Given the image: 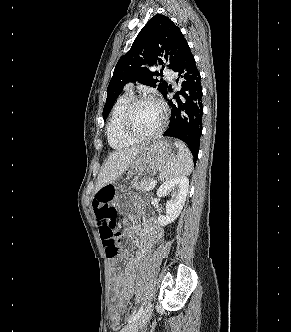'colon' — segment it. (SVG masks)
I'll list each match as a JSON object with an SVG mask.
<instances>
[{"instance_id":"5ec220e1","label":"colon","mask_w":291,"mask_h":332,"mask_svg":"<svg viewBox=\"0 0 291 332\" xmlns=\"http://www.w3.org/2000/svg\"><path fill=\"white\" fill-rule=\"evenodd\" d=\"M96 217L100 229V236L108 258L118 256L116 240L119 235L116 227L117 211L114 204V192L103 190L94 199ZM119 313L116 309L110 311V324L113 329L119 325Z\"/></svg>"}]
</instances>
